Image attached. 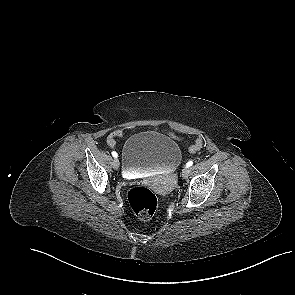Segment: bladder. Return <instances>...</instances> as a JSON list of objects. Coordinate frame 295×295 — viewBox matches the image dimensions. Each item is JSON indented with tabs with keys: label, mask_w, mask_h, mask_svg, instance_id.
Instances as JSON below:
<instances>
[{
	"label": "bladder",
	"mask_w": 295,
	"mask_h": 295,
	"mask_svg": "<svg viewBox=\"0 0 295 295\" xmlns=\"http://www.w3.org/2000/svg\"><path fill=\"white\" fill-rule=\"evenodd\" d=\"M181 159L176 141L156 131L132 135L121 152L123 174L127 177L153 171L172 172L180 165Z\"/></svg>",
	"instance_id": "1"
}]
</instances>
